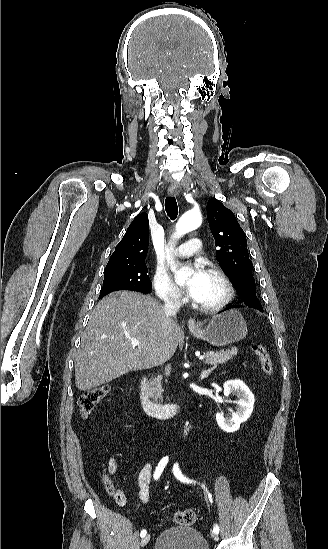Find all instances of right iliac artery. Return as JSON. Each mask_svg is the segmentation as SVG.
Listing matches in <instances>:
<instances>
[{
    "instance_id": "82829eb1",
    "label": "right iliac artery",
    "mask_w": 328,
    "mask_h": 549,
    "mask_svg": "<svg viewBox=\"0 0 328 549\" xmlns=\"http://www.w3.org/2000/svg\"><path fill=\"white\" fill-rule=\"evenodd\" d=\"M168 459H169L168 456H166V457H164V458L159 462V464H158V466H157V468H156V471H155V473H154V479H155V480H158V479H159V477H160V475H161L163 469L165 468V466H166V464H167V462H168ZM146 533H147L146 530H142L141 533H140V536H141V537H144V536L146 535Z\"/></svg>"
}]
</instances>
